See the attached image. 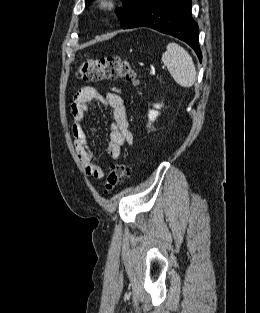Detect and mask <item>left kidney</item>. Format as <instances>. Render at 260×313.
<instances>
[{"mask_svg":"<svg viewBox=\"0 0 260 313\" xmlns=\"http://www.w3.org/2000/svg\"><path fill=\"white\" fill-rule=\"evenodd\" d=\"M162 107V105L160 104H155L154 108L156 109H160ZM159 112L157 110H150L148 113V118L150 122H153L156 120V118L158 117ZM150 127V125H148Z\"/></svg>","mask_w":260,"mask_h":313,"instance_id":"5707ae66","label":"left kidney"}]
</instances>
